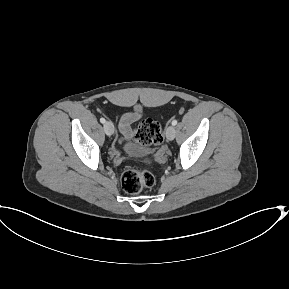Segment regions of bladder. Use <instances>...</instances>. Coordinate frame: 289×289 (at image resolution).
<instances>
[{"label": "bladder", "instance_id": "bladder-1", "mask_svg": "<svg viewBox=\"0 0 289 289\" xmlns=\"http://www.w3.org/2000/svg\"><path fill=\"white\" fill-rule=\"evenodd\" d=\"M128 152L132 155L140 156L144 155L147 151L140 145L131 144L128 147Z\"/></svg>", "mask_w": 289, "mask_h": 289}]
</instances>
